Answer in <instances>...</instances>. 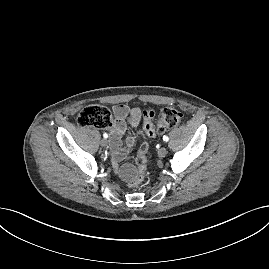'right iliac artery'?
Listing matches in <instances>:
<instances>
[{"instance_id":"right-iliac-artery-1","label":"right iliac artery","mask_w":269,"mask_h":269,"mask_svg":"<svg viewBox=\"0 0 269 269\" xmlns=\"http://www.w3.org/2000/svg\"><path fill=\"white\" fill-rule=\"evenodd\" d=\"M103 137L106 139V138H108V134L107 133H104L103 134Z\"/></svg>"}]
</instances>
